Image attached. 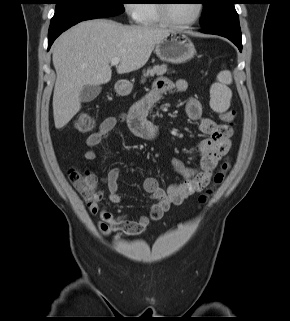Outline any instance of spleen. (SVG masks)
Instances as JSON below:
<instances>
[{
  "instance_id": "obj_1",
  "label": "spleen",
  "mask_w": 290,
  "mask_h": 321,
  "mask_svg": "<svg viewBox=\"0 0 290 321\" xmlns=\"http://www.w3.org/2000/svg\"><path fill=\"white\" fill-rule=\"evenodd\" d=\"M232 83V75L229 71H221L217 75V82L210 88V107L219 113L225 112L232 98V91L228 87Z\"/></svg>"
}]
</instances>
